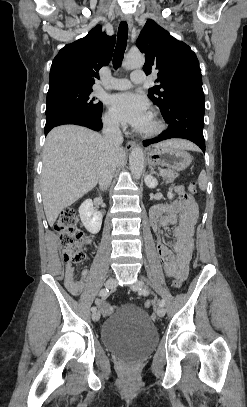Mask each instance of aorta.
<instances>
[{
  "label": "aorta",
  "instance_id": "aorta-1",
  "mask_svg": "<svg viewBox=\"0 0 247 407\" xmlns=\"http://www.w3.org/2000/svg\"><path fill=\"white\" fill-rule=\"evenodd\" d=\"M144 63L145 57L143 54L139 52L129 53L123 62V67L125 69H135L142 67ZM129 166L133 177L139 179L144 171V155L139 146L132 149L129 156Z\"/></svg>",
  "mask_w": 247,
  "mask_h": 407
}]
</instances>
